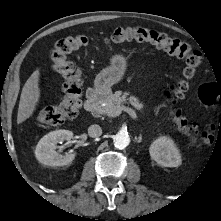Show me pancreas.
Listing matches in <instances>:
<instances>
[{
  "instance_id": "pancreas-1",
  "label": "pancreas",
  "mask_w": 221,
  "mask_h": 221,
  "mask_svg": "<svg viewBox=\"0 0 221 221\" xmlns=\"http://www.w3.org/2000/svg\"><path fill=\"white\" fill-rule=\"evenodd\" d=\"M130 92L116 91L107 96L106 99L102 100L100 104H97L92 110V114L95 117H100L101 115H108V113L114 108L121 106L124 103H129L134 107L141 109L143 107L142 102L135 97L129 96ZM104 104V105H103Z\"/></svg>"
}]
</instances>
